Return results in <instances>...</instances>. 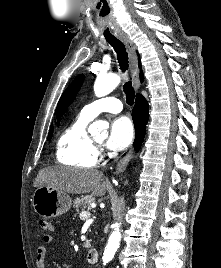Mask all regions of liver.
Here are the masks:
<instances>
[{
	"mask_svg": "<svg viewBox=\"0 0 221 268\" xmlns=\"http://www.w3.org/2000/svg\"><path fill=\"white\" fill-rule=\"evenodd\" d=\"M41 186L71 194L91 193L96 197L104 196L111 187L107 180L104 181L101 171L59 166L46 167L38 172L34 187Z\"/></svg>",
	"mask_w": 221,
	"mask_h": 268,
	"instance_id": "1",
	"label": "liver"
}]
</instances>
